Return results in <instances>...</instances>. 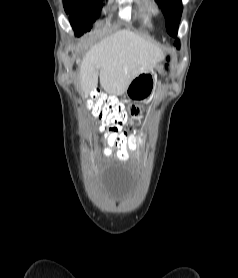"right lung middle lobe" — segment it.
<instances>
[{
    "label": "right lung middle lobe",
    "instance_id": "right-lung-middle-lobe-1",
    "mask_svg": "<svg viewBox=\"0 0 238 278\" xmlns=\"http://www.w3.org/2000/svg\"><path fill=\"white\" fill-rule=\"evenodd\" d=\"M103 4L98 0H64V8L67 14L78 18L77 34L91 28L100 14Z\"/></svg>",
    "mask_w": 238,
    "mask_h": 278
}]
</instances>
